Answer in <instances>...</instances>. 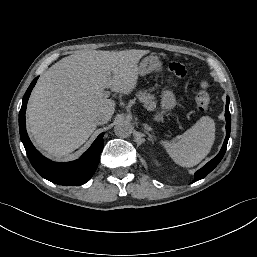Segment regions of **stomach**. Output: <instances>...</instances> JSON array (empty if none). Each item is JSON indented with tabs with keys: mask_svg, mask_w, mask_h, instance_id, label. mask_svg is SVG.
Listing matches in <instances>:
<instances>
[{
	"mask_svg": "<svg viewBox=\"0 0 257 257\" xmlns=\"http://www.w3.org/2000/svg\"><path fill=\"white\" fill-rule=\"evenodd\" d=\"M159 58L154 55H150L145 57L138 66V75L144 76L154 70L155 65L159 62ZM177 104L174 93L163 91L161 97V112L156 116L157 120L162 118V114L167 111L173 109Z\"/></svg>",
	"mask_w": 257,
	"mask_h": 257,
	"instance_id": "obj_1",
	"label": "stomach"
}]
</instances>
